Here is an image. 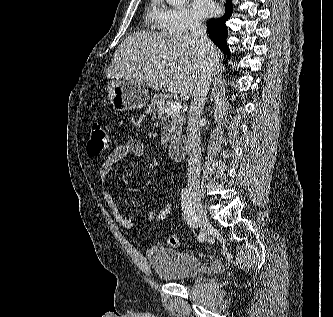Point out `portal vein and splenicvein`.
<instances>
[{
	"mask_svg": "<svg viewBox=\"0 0 333 317\" xmlns=\"http://www.w3.org/2000/svg\"><path fill=\"white\" fill-rule=\"evenodd\" d=\"M182 108V104L180 101H172L169 104H167L165 108V113L170 114V113H175L179 111Z\"/></svg>",
	"mask_w": 333,
	"mask_h": 317,
	"instance_id": "1",
	"label": "portal vein and splenic vein"
}]
</instances>
